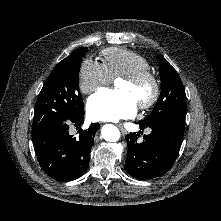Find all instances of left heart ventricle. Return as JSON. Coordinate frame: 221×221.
<instances>
[{"label":"left heart ventricle","mask_w":221,"mask_h":221,"mask_svg":"<svg viewBox=\"0 0 221 221\" xmlns=\"http://www.w3.org/2000/svg\"><path fill=\"white\" fill-rule=\"evenodd\" d=\"M116 87L118 90L130 93L137 104L146 99L151 92V87L149 84L135 86L121 79L116 81Z\"/></svg>","instance_id":"obj_1"}]
</instances>
